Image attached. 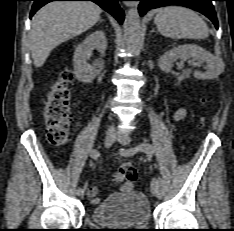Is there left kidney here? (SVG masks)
Listing matches in <instances>:
<instances>
[{
  "mask_svg": "<svg viewBox=\"0 0 234 231\" xmlns=\"http://www.w3.org/2000/svg\"><path fill=\"white\" fill-rule=\"evenodd\" d=\"M182 57L191 58L193 61H198L199 63H207L206 72H194V77L197 79H215L224 71V63L220 58L215 57L206 49L195 44L179 45L167 51L158 59V66L162 71L170 72L172 63Z\"/></svg>",
  "mask_w": 234,
  "mask_h": 231,
  "instance_id": "5707ae66",
  "label": "left kidney"
}]
</instances>
